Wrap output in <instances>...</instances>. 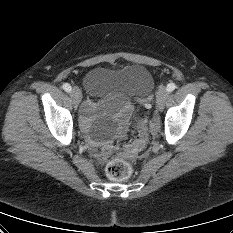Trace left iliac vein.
Masks as SVG:
<instances>
[{
	"label": "left iliac vein",
	"instance_id": "4c4485c4",
	"mask_svg": "<svg viewBox=\"0 0 233 233\" xmlns=\"http://www.w3.org/2000/svg\"><path fill=\"white\" fill-rule=\"evenodd\" d=\"M167 97H168L167 89L164 86L160 87L156 94V104H157V108L160 111H162V109L164 108Z\"/></svg>",
	"mask_w": 233,
	"mask_h": 233
}]
</instances>
